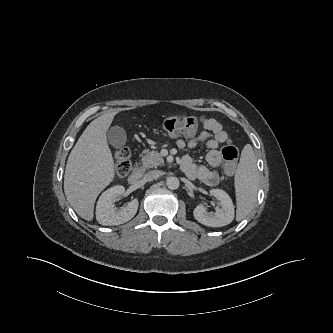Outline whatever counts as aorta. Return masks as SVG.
<instances>
[{"instance_id": "762f6f07", "label": "aorta", "mask_w": 333, "mask_h": 333, "mask_svg": "<svg viewBox=\"0 0 333 333\" xmlns=\"http://www.w3.org/2000/svg\"><path fill=\"white\" fill-rule=\"evenodd\" d=\"M167 187L171 190H175L179 187L180 185V182H179V179L177 177H169L167 179Z\"/></svg>"}]
</instances>
